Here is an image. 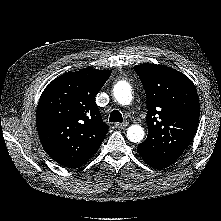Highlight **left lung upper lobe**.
Returning a JSON list of instances; mask_svg holds the SVG:
<instances>
[{
    "label": "left lung upper lobe",
    "instance_id": "left-lung-upper-lobe-1",
    "mask_svg": "<svg viewBox=\"0 0 221 221\" xmlns=\"http://www.w3.org/2000/svg\"><path fill=\"white\" fill-rule=\"evenodd\" d=\"M146 93L148 136L137 150L174 164L188 147L199 121V98L193 82L162 65L134 66Z\"/></svg>",
    "mask_w": 221,
    "mask_h": 221
}]
</instances>
